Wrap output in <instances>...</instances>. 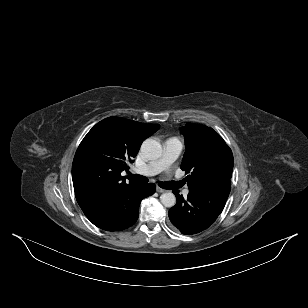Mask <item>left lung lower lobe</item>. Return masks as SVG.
Segmentation results:
<instances>
[{"instance_id":"1","label":"left lung lower lobe","mask_w":308,"mask_h":308,"mask_svg":"<svg viewBox=\"0 0 308 308\" xmlns=\"http://www.w3.org/2000/svg\"><path fill=\"white\" fill-rule=\"evenodd\" d=\"M230 186L231 180L212 182L198 189H190L187 199L174 190L177 202L168 212L172 224L187 235L205 230L222 212Z\"/></svg>"}]
</instances>
